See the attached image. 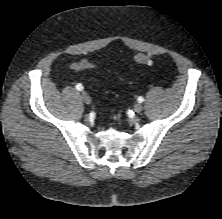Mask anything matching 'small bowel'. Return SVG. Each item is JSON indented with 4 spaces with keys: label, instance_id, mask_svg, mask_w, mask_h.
Segmentation results:
<instances>
[{
    "label": "small bowel",
    "instance_id": "obj_1",
    "mask_svg": "<svg viewBox=\"0 0 222 219\" xmlns=\"http://www.w3.org/2000/svg\"><path fill=\"white\" fill-rule=\"evenodd\" d=\"M70 68H71L73 71H82V70L92 69V68H94V65L91 64V63H90L89 61H87V60H81V61L73 62V63L70 65Z\"/></svg>",
    "mask_w": 222,
    "mask_h": 219
}]
</instances>
